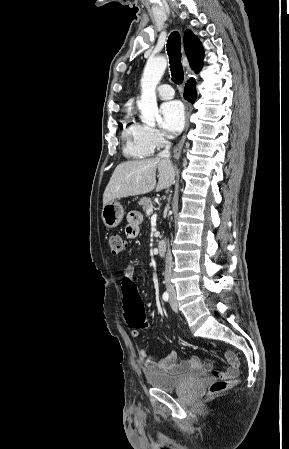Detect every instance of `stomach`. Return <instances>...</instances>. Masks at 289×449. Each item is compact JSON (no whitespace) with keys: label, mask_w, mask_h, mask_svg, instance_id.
<instances>
[{"label":"stomach","mask_w":289,"mask_h":449,"mask_svg":"<svg viewBox=\"0 0 289 449\" xmlns=\"http://www.w3.org/2000/svg\"><path fill=\"white\" fill-rule=\"evenodd\" d=\"M101 216L106 227L115 228L124 217V209L117 200H112L103 206Z\"/></svg>","instance_id":"0dacf381"}]
</instances>
